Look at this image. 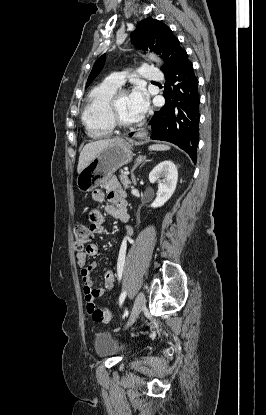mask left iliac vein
<instances>
[{
    "instance_id": "left-iliac-vein-1",
    "label": "left iliac vein",
    "mask_w": 266,
    "mask_h": 415,
    "mask_svg": "<svg viewBox=\"0 0 266 415\" xmlns=\"http://www.w3.org/2000/svg\"><path fill=\"white\" fill-rule=\"evenodd\" d=\"M145 303H146L145 295H144L143 292H140L136 297V300L134 302V305H133V308H132V311H131V314H130V317H129V320L127 322L126 327L131 326L136 321V319L138 318L140 312L145 307Z\"/></svg>"
}]
</instances>
